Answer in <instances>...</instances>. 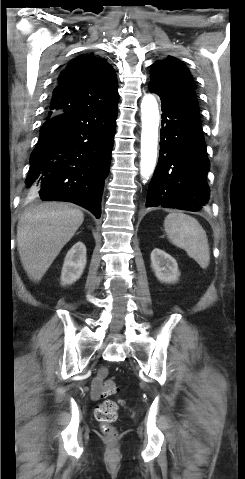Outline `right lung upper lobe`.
Here are the masks:
<instances>
[{
  "instance_id": "1",
  "label": "right lung upper lobe",
  "mask_w": 245,
  "mask_h": 479,
  "mask_svg": "<svg viewBox=\"0 0 245 479\" xmlns=\"http://www.w3.org/2000/svg\"><path fill=\"white\" fill-rule=\"evenodd\" d=\"M116 74L105 58L86 54L73 59L60 73L46 119L57 114L118 103Z\"/></svg>"
}]
</instances>
